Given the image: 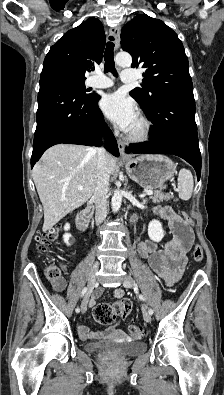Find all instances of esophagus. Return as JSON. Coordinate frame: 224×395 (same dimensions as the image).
Here are the masks:
<instances>
[{"label": "esophagus", "mask_w": 224, "mask_h": 395, "mask_svg": "<svg viewBox=\"0 0 224 395\" xmlns=\"http://www.w3.org/2000/svg\"><path fill=\"white\" fill-rule=\"evenodd\" d=\"M120 32L121 28L120 26H114L110 29V34L114 37V47L117 50L120 45ZM119 152H120V157L122 159H126V153H125V146L124 143L120 140L117 141Z\"/></svg>", "instance_id": "34e87169"}]
</instances>
